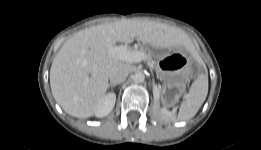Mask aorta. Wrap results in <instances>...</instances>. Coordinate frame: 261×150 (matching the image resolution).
Instances as JSON below:
<instances>
[{
  "instance_id": "762f6f07",
  "label": "aorta",
  "mask_w": 261,
  "mask_h": 150,
  "mask_svg": "<svg viewBox=\"0 0 261 150\" xmlns=\"http://www.w3.org/2000/svg\"><path fill=\"white\" fill-rule=\"evenodd\" d=\"M145 79V75L142 72H137L133 76V80L135 83H142Z\"/></svg>"
}]
</instances>
